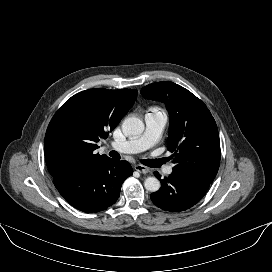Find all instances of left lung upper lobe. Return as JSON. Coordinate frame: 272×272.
<instances>
[{"label":"left lung upper lobe","mask_w":272,"mask_h":272,"mask_svg":"<svg viewBox=\"0 0 272 272\" xmlns=\"http://www.w3.org/2000/svg\"><path fill=\"white\" fill-rule=\"evenodd\" d=\"M140 92L148 99L162 101L169 112L167 147L173 153V170L212 183L220 164V140L206 105L169 81L149 84Z\"/></svg>","instance_id":"1"}]
</instances>
